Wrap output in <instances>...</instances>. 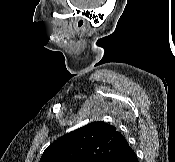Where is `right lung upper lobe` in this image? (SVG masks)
Masks as SVG:
<instances>
[{"instance_id": "1", "label": "right lung upper lobe", "mask_w": 175, "mask_h": 162, "mask_svg": "<svg viewBox=\"0 0 175 162\" xmlns=\"http://www.w3.org/2000/svg\"><path fill=\"white\" fill-rule=\"evenodd\" d=\"M130 150L116 127L92 122L54 141L39 162H113Z\"/></svg>"}]
</instances>
